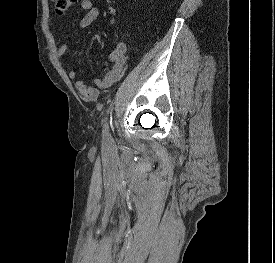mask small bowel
Here are the masks:
<instances>
[{
	"instance_id": "obj_1",
	"label": "small bowel",
	"mask_w": 275,
	"mask_h": 263,
	"mask_svg": "<svg viewBox=\"0 0 275 263\" xmlns=\"http://www.w3.org/2000/svg\"><path fill=\"white\" fill-rule=\"evenodd\" d=\"M79 9L85 12V15L78 23L80 28L90 26L99 16V8L91 0H82ZM69 50V44L63 43L57 50V56L65 55ZM110 70L101 78H93L94 85H88L83 80H76L77 72L74 68L68 71V77L74 81V86L79 94L89 100L96 101L100 92L111 89L121 77L126 62V45L123 42L116 44L109 55Z\"/></svg>"
}]
</instances>
